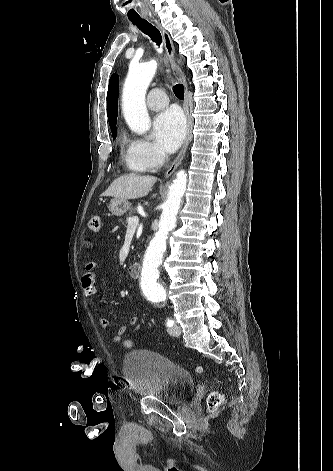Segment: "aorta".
Here are the masks:
<instances>
[{
  "label": "aorta",
  "instance_id": "aorta-1",
  "mask_svg": "<svg viewBox=\"0 0 333 471\" xmlns=\"http://www.w3.org/2000/svg\"><path fill=\"white\" fill-rule=\"evenodd\" d=\"M156 69L157 62L155 60L132 65L125 80L122 94V111L129 128L139 135L146 133L150 128L145 95ZM186 182L187 175L185 171H179L169 188L158 231L150 241L143 259L142 284L146 287V294L159 301H165L167 298L166 289L159 282V267L166 250L168 234L176 226V215L185 193Z\"/></svg>",
  "mask_w": 333,
  "mask_h": 471
}]
</instances>
